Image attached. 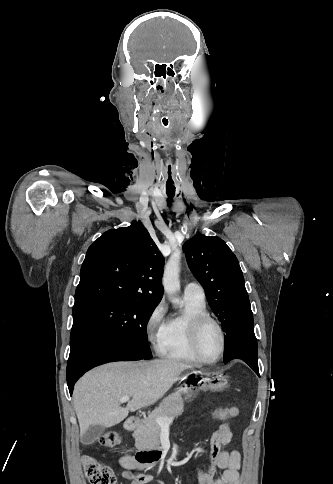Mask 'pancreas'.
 Segmentation results:
<instances>
[{
  "instance_id": "obj_1",
  "label": "pancreas",
  "mask_w": 333,
  "mask_h": 484,
  "mask_svg": "<svg viewBox=\"0 0 333 484\" xmlns=\"http://www.w3.org/2000/svg\"><path fill=\"white\" fill-rule=\"evenodd\" d=\"M183 399L179 393H173L164 398L148 417L142 419V424L133 433L135 446L141 450H159L161 427L156 423L157 417L175 418L183 413Z\"/></svg>"
}]
</instances>
